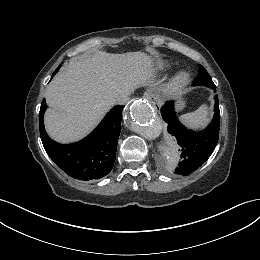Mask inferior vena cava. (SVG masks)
<instances>
[{
  "label": "inferior vena cava",
  "instance_id": "obj_1",
  "mask_svg": "<svg viewBox=\"0 0 260 260\" xmlns=\"http://www.w3.org/2000/svg\"><path fill=\"white\" fill-rule=\"evenodd\" d=\"M132 93V91L123 92L121 94H118L112 99L113 105H124L129 101V95Z\"/></svg>",
  "mask_w": 260,
  "mask_h": 260
}]
</instances>
